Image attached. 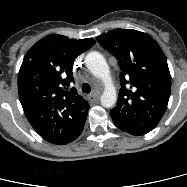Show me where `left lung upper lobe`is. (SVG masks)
I'll use <instances>...</instances> for the list:
<instances>
[{"label": "left lung upper lobe", "instance_id": "obj_1", "mask_svg": "<svg viewBox=\"0 0 187 187\" xmlns=\"http://www.w3.org/2000/svg\"><path fill=\"white\" fill-rule=\"evenodd\" d=\"M97 40L121 69L118 101L110 110L113 122L132 135L150 132L164 115L171 91L162 49L151 36L132 29H115Z\"/></svg>", "mask_w": 187, "mask_h": 187}]
</instances>
